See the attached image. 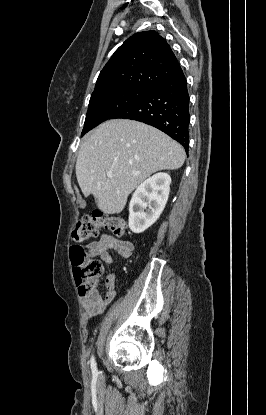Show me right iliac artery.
<instances>
[{
	"instance_id": "82829eb1",
	"label": "right iliac artery",
	"mask_w": 266,
	"mask_h": 415,
	"mask_svg": "<svg viewBox=\"0 0 266 415\" xmlns=\"http://www.w3.org/2000/svg\"><path fill=\"white\" fill-rule=\"evenodd\" d=\"M90 363H91L92 374L94 376H97L98 375V370H97V366H96V362H95L94 356L91 357Z\"/></svg>"
}]
</instances>
